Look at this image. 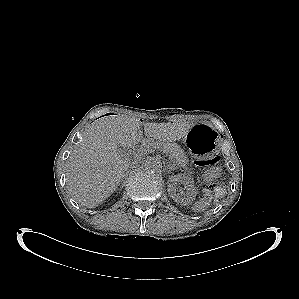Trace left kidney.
Instances as JSON below:
<instances>
[{"instance_id": "5707ae66", "label": "left kidney", "mask_w": 299, "mask_h": 299, "mask_svg": "<svg viewBox=\"0 0 299 299\" xmlns=\"http://www.w3.org/2000/svg\"><path fill=\"white\" fill-rule=\"evenodd\" d=\"M181 183L186 189V193L177 194L176 184ZM168 193L173 200L181 205H189L195 198L197 191L191 179L185 175H172L168 178Z\"/></svg>"}]
</instances>
